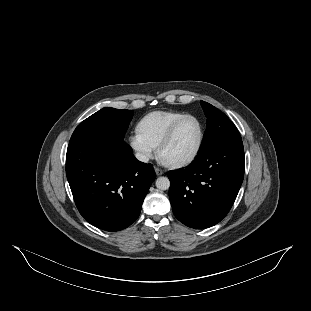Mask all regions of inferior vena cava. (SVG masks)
<instances>
[{
    "label": "inferior vena cava",
    "instance_id": "602c4592",
    "mask_svg": "<svg viewBox=\"0 0 311 311\" xmlns=\"http://www.w3.org/2000/svg\"><path fill=\"white\" fill-rule=\"evenodd\" d=\"M135 157L137 160L147 163L149 161V157L143 153H136Z\"/></svg>",
    "mask_w": 311,
    "mask_h": 311
}]
</instances>
